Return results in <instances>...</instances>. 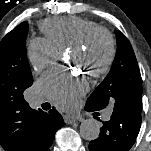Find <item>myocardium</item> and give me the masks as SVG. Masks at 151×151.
I'll return each mask as SVG.
<instances>
[{"mask_svg":"<svg viewBox=\"0 0 151 151\" xmlns=\"http://www.w3.org/2000/svg\"><path fill=\"white\" fill-rule=\"evenodd\" d=\"M99 39L106 41L108 52L105 61L99 67L87 70L89 75L96 78L106 74L113 64L116 47L112 34L104 28H97L90 31L79 43L72 47L74 53H86L93 48Z\"/></svg>","mask_w":151,"mask_h":151,"instance_id":"f54148a6","label":"myocardium"}]
</instances>
